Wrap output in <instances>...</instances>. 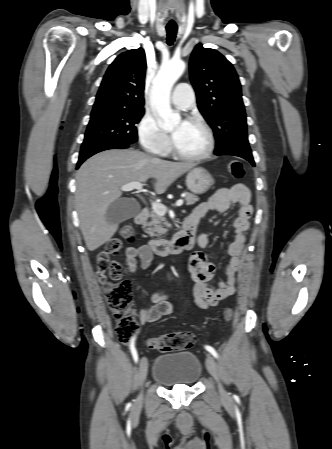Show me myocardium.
Returning <instances> with one entry per match:
<instances>
[{"label":"myocardium","mask_w":332,"mask_h":449,"mask_svg":"<svg viewBox=\"0 0 332 449\" xmlns=\"http://www.w3.org/2000/svg\"><path fill=\"white\" fill-rule=\"evenodd\" d=\"M188 123H193L198 125L205 133L207 139V146L205 150L199 154H186L181 152L175 145L174 141L172 142V151L176 157L185 161H203L208 159L215 149V137L210 126L201 118L192 117L188 120Z\"/></svg>","instance_id":"1"}]
</instances>
